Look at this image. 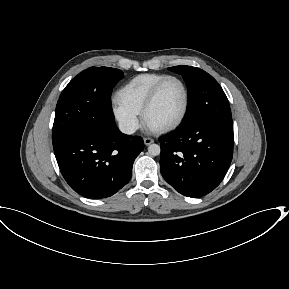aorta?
<instances>
[{
    "instance_id": "1",
    "label": "aorta",
    "mask_w": 289,
    "mask_h": 289,
    "mask_svg": "<svg viewBox=\"0 0 289 289\" xmlns=\"http://www.w3.org/2000/svg\"><path fill=\"white\" fill-rule=\"evenodd\" d=\"M161 152V148L158 144H151L149 145L148 147V153L151 155V156H157L159 155Z\"/></svg>"
}]
</instances>
